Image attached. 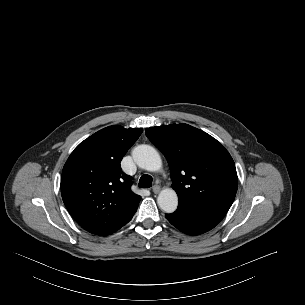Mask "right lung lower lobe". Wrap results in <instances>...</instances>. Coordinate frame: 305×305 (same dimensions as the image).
Masks as SVG:
<instances>
[{"instance_id": "right-lung-lower-lobe-1", "label": "right lung lower lobe", "mask_w": 305, "mask_h": 305, "mask_svg": "<svg viewBox=\"0 0 305 305\" xmlns=\"http://www.w3.org/2000/svg\"><path fill=\"white\" fill-rule=\"evenodd\" d=\"M131 218H132V217H131ZM131 218H130L129 220H127L126 222L120 224V225H119L116 229H114L113 231H111V232H109V233H107V234H104L103 236H106V235H109V234L114 233L115 231H117L118 229H120L122 226H124L126 223H128V222L131 220Z\"/></svg>"}]
</instances>
